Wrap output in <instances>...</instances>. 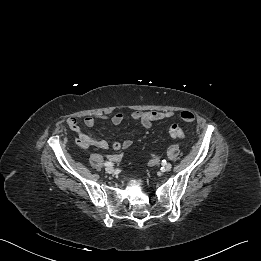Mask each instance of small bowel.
Instances as JSON below:
<instances>
[{
	"mask_svg": "<svg viewBox=\"0 0 261 261\" xmlns=\"http://www.w3.org/2000/svg\"><path fill=\"white\" fill-rule=\"evenodd\" d=\"M174 116V112L170 110L166 111H134L131 114V118L139 122L143 127L149 129L152 127L153 123L156 121H161L164 119H169ZM180 118L185 123H191L195 120V115L191 111H182L180 113ZM109 119L114 125H120L124 121V115L122 113H115L112 116H107L104 114L90 115L84 118V125L87 127L93 126L98 120ZM68 127L77 133V142L82 147H96L100 149H107L109 144L106 140L98 138L91 133L83 130L77 119L70 118L67 121ZM132 145V140L126 139L122 142H114L112 147L114 150L118 151L121 149H127ZM113 160H120L121 155H113Z\"/></svg>",
	"mask_w": 261,
	"mask_h": 261,
	"instance_id": "small-bowel-1",
	"label": "small bowel"
}]
</instances>
